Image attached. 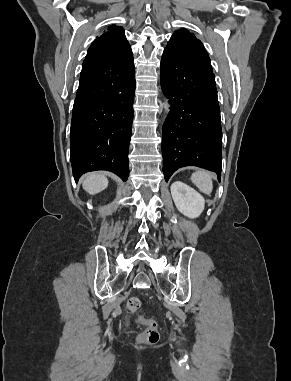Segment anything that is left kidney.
I'll use <instances>...</instances> for the list:
<instances>
[{"label":"left kidney","mask_w":291,"mask_h":381,"mask_svg":"<svg viewBox=\"0 0 291 381\" xmlns=\"http://www.w3.org/2000/svg\"><path fill=\"white\" fill-rule=\"evenodd\" d=\"M171 194L177 209L189 218H197L204 210V198L181 181L172 183Z\"/></svg>","instance_id":"left-kidney-1"}]
</instances>
